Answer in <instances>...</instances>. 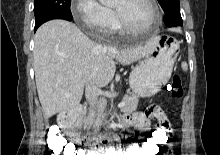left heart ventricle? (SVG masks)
Instances as JSON below:
<instances>
[{"label": "left heart ventricle", "mask_w": 220, "mask_h": 155, "mask_svg": "<svg viewBox=\"0 0 220 155\" xmlns=\"http://www.w3.org/2000/svg\"><path fill=\"white\" fill-rule=\"evenodd\" d=\"M113 8L133 28H143L150 22V7L145 0H116Z\"/></svg>", "instance_id": "b2bd125f"}]
</instances>
